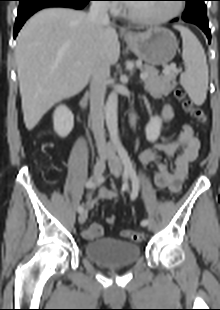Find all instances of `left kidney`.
<instances>
[{"label": "left kidney", "mask_w": 220, "mask_h": 310, "mask_svg": "<svg viewBox=\"0 0 220 310\" xmlns=\"http://www.w3.org/2000/svg\"><path fill=\"white\" fill-rule=\"evenodd\" d=\"M161 127H162V121L160 117L155 116L150 119V121L145 127L146 138L149 142H155L158 139Z\"/></svg>", "instance_id": "5707ae66"}]
</instances>
